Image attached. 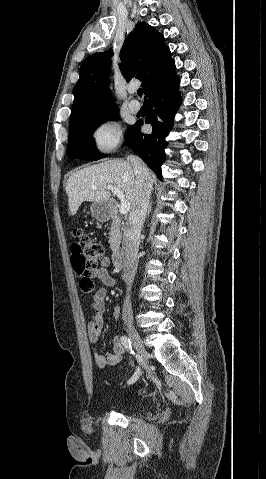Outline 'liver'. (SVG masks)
Returning <instances> with one entry per match:
<instances>
[{"mask_svg": "<svg viewBox=\"0 0 266 479\" xmlns=\"http://www.w3.org/2000/svg\"><path fill=\"white\" fill-rule=\"evenodd\" d=\"M152 183L154 173L149 171ZM108 185L118 188L133 206L136 195V176L130 162L116 159L106 160L73 173L66 183V194L71 215H75L83 201L107 202L111 197ZM93 187H97L96 190Z\"/></svg>", "mask_w": 266, "mask_h": 479, "instance_id": "obj_1", "label": "liver"}]
</instances>
